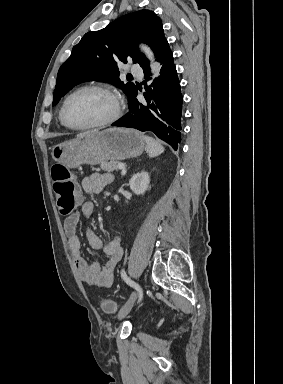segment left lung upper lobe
Here are the masks:
<instances>
[{"instance_id": "1", "label": "left lung upper lobe", "mask_w": 283, "mask_h": 384, "mask_svg": "<svg viewBox=\"0 0 283 384\" xmlns=\"http://www.w3.org/2000/svg\"><path fill=\"white\" fill-rule=\"evenodd\" d=\"M137 42L149 44L155 56L167 42L162 22L151 10L124 15L102 30L86 33L58 71L52 105L73 86L92 80L113 83L130 99L136 86L119 79L117 62L131 58L142 68L147 66L149 61L139 53Z\"/></svg>"}]
</instances>
